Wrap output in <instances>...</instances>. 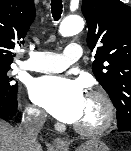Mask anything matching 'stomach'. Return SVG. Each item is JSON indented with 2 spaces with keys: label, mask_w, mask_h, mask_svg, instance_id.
Listing matches in <instances>:
<instances>
[{
  "label": "stomach",
  "mask_w": 131,
  "mask_h": 151,
  "mask_svg": "<svg viewBox=\"0 0 131 151\" xmlns=\"http://www.w3.org/2000/svg\"><path fill=\"white\" fill-rule=\"evenodd\" d=\"M77 151H110V149L101 140L93 138L81 144Z\"/></svg>",
  "instance_id": "1"
}]
</instances>
